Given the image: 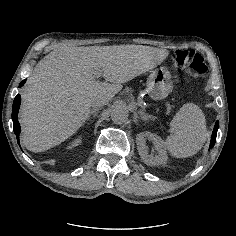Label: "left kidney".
<instances>
[{"label":"left kidney","mask_w":236,"mask_h":236,"mask_svg":"<svg viewBox=\"0 0 236 236\" xmlns=\"http://www.w3.org/2000/svg\"><path fill=\"white\" fill-rule=\"evenodd\" d=\"M146 140H150L156 151L155 156L148 154ZM136 144L139 154L147 165L157 166L167 162L165 143L156 135L150 132H142L136 136Z\"/></svg>","instance_id":"1"}]
</instances>
